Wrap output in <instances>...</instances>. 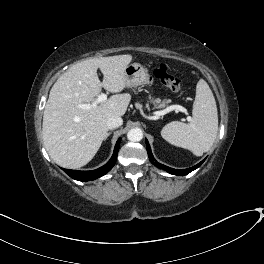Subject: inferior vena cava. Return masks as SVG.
<instances>
[{"label":"inferior vena cava","mask_w":264,"mask_h":264,"mask_svg":"<svg viewBox=\"0 0 264 264\" xmlns=\"http://www.w3.org/2000/svg\"><path fill=\"white\" fill-rule=\"evenodd\" d=\"M123 124V119L119 116H111L107 119L106 125L109 129H115Z\"/></svg>","instance_id":"inferior-vena-cava-1"}]
</instances>
